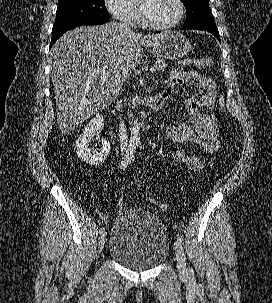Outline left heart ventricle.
<instances>
[{
  "label": "left heart ventricle",
  "mask_w": 272,
  "mask_h": 303,
  "mask_svg": "<svg viewBox=\"0 0 272 303\" xmlns=\"http://www.w3.org/2000/svg\"><path fill=\"white\" fill-rule=\"evenodd\" d=\"M139 6L151 22L159 25L172 22L178 14L176 0H140Z\"/></svg>",
  "instance_id": "obj_1"
}]
</instances>
